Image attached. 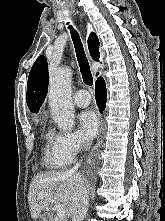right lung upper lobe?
Masks as SVG:
<instances>
[{
	"mask_svg": "<svg viewBox=\"0 0 165 221\" xmlns=\"http://www.w3.org/2000/svg\"><path fill=\"white\" fill-rule=\"evenodd\" d=\"M88 47L92 58L99 60V40L95 33L88 39ZM26 101L31 112L37 113L43 104L48 88V66L43 55L33 64L28 77Z\"/></svg>",
	"mask_w": 165,
	"mask_h": 221,
	"instance_id": "1",
	"label": "right lung upper lobe"
}]
</instances>
